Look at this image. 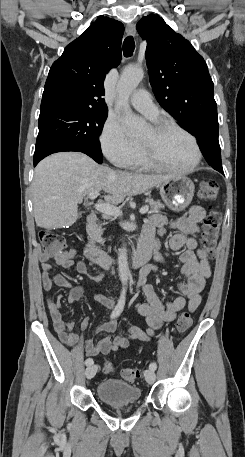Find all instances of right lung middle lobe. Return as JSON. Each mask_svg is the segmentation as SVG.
Returning <instances> with one entry per match:
<instances>
[{
	"mask_svg": "<svg viewBox=\"0 0 245 457\" xmlns=\"http://www.w3.org/2000/svg\"><path fill=\"white\" fill-rule=\"evenodd\" d=\"M107 115L108 110L79 106L41 112L34 154L53 147H70L101 164L99 135Z\"/></svg>",
	"mask_w": 245,
	"mask_h": 457,
	"instance_id": "right-lung-middle-lobe-1",
	"label": "right lung middle lobe"
}]
</instances>
